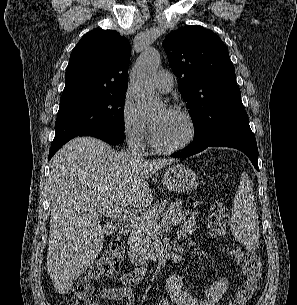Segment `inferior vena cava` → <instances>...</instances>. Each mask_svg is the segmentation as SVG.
<instances>
[{
	"label": "inferior vena cava",
	"instance_id": "1",
	"mask_svg": "<svg viewBox=\"0 0 297 305\" xmlns=\"http://www.w3.org/2000/svg\"><path fill=\"white\" fill-rule=\"evenodd\" d=\"M141 145H142V134L140 132H136L133 135L130 151H131V155L137 159H141L143 156L141 151Z\"/></svg>",
	"mask_w": 297,
	"mask_h": 305
}]
</instances>
